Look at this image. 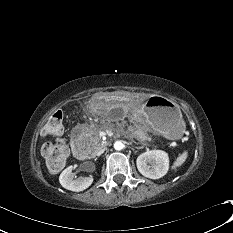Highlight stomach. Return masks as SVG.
I'll return each instance as SVG.
<instances>
[{"mask_svg": "<svg viewBox=\"0 0 233 233\" xmlns=\"http://www.w3.org/2000/svg\"><path fill=\"white\" fill-rule=\"evenodd\" d=\"M90 111L104 117L128 118L139 113L138 120L149 130L167 139H179L184 126L180 109L176 103L163 97L152 96L147 101L136 96L133 99L117 96L97 97L90 102Z\"/></svg>", "mask_w": 233, "mask_h": 233, "instance_id": "0dacf381", "label": "stomach"}]
</instances>
